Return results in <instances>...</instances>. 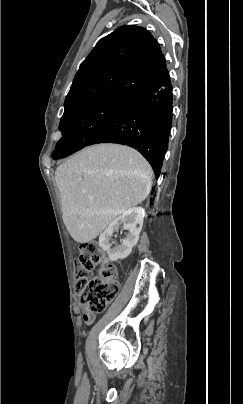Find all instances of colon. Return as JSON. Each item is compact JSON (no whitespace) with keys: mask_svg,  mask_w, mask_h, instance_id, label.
<instances>
[{"mask_svg":"<svg viewBox=\"0 0 243 404\" xmlns=\"http://www.w3.org/2000/svg\"><path fill=\"white\" fill-rule=\"evenodd\" d=\"M97 269L94 276L90 273ZM77 291L81 302L91 313L103 312L119 291L117 270L100 245L88 241L80 245Z\"/></svg>","mask_w":243,"mask_h":404,"instance_id":"1","label":"colon"}]
</instances>
